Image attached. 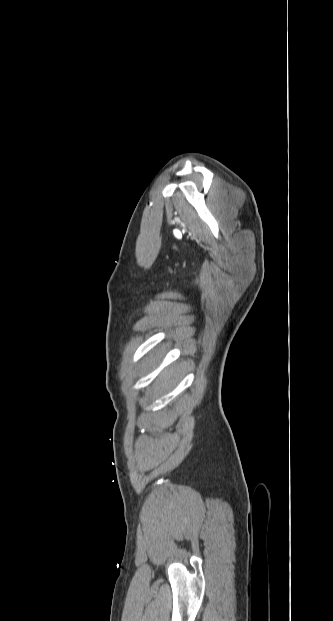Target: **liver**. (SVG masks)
<instances>
[{"label": "liver", "instance_id": "6515ba94", "mask_svg": "<svg viewBox=\"0 0 333 621\" xmlns=\"http://www.w3.org/2000/svg\"><path fill=\"white\" fill-rule=\"evenodd\" d=\"M169 377H170V376H169V374H168V371H167V370H165V371H163V372L161 373V375H160V377H159V378H160L161 380H163V381H165V382H166V381L169 379Z\"/></svg>", "mask_w": 333, "mask_h": 621}]
</instances>
